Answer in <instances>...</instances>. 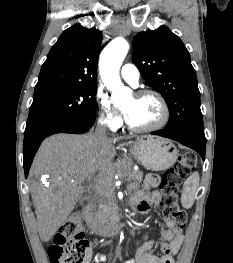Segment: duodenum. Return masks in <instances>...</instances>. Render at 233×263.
Masks as SVG:
<instances>
[{"mask_svg":"<svg viewBox=\"0 0 233 263\" xmlns=\"http://www.w3.org/2000/svg\"><path fill=\"white\" fill-rule=\"evenodd\" d=\"M83 217L90 229L100 237H116L122 232L124 228L123 222H116L107 226H101L96 221L93 210L89 204H86L83 208Z\"/></svg>","mask_w":233,"mask_h":263,"instance_id":"1","label":"duodenum"}]
</instances>
